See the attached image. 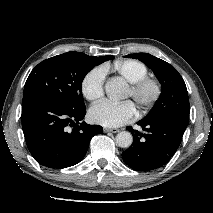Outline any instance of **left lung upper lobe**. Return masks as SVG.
Listing matches in <instances>:
<instances>
[{"mask_svg": "<svg viewBox=\"0 0 213 213\" xmlns=\"http://www.w3.org/2000/svg\"><path fill=\"white\" fill-rule=\"evenodd\" d=\"M142 61L151 68L162 85V94L149 115L143 120L176 118L189 123V98L185 82L177 70L169 63L148 53L125 56Z\"/></svg>", "mask_w": 213, "mask_h": 213, "instance_id": "1", "label": "left lung upper lobe"}]
</instances>
